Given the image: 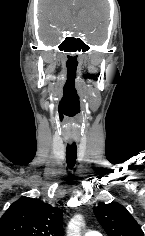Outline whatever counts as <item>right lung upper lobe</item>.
Listing matches in <instances>:
<instances>
[{
  "label": "right lung upper lobe",
  "mask_w": 145,
  "mask_h": 236,
  "mask_svg": "<svg viewBox=\"0 0 145 236\" xmlns=\"http://www.w3.org/2000/svg\"><path fill=\"white\" fill-rule=\"evenodd\" d=\"M62 223L60 208L24 197L0 218V236H63Z\"/></svg>",
  "instance_id": "cb5924a9"
}]
</instances>
